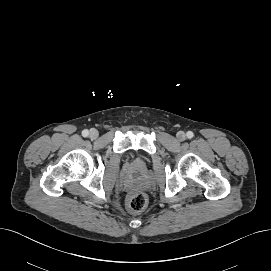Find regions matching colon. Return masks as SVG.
Listing matches in <instances>:
<instances>
[{
	"label": "colon",
	"mask_w": 271,
	"mask_h": 271,
	"mask_svg": "<svg viewBox=\"0 0 271 271\" xmlns=\"http://www.w3.org/2000/svg\"><path fill=\"white\" fill-rule=\"evenodd\" d=\"M148 203L147 195L142 191H135L128 197L127 207L132 212H142Z\"/></svg>",
	"instance_id": "1"
}]
</instances>
